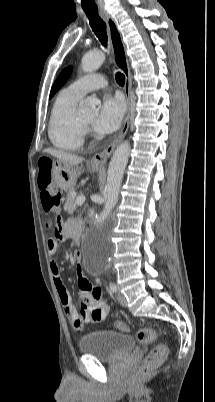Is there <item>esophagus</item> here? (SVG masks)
Segmentation results:
<instances>
[{
  "instance_id": "obj_1",
  "label": "esophagus",
  "mask_w": 215,
  "mask_h": 402,
  "mask_svg": "<svg viewBox=\"0 0 215 402\" xmlns=\"http://www.w3.org/2000/svg\"><path fill=\"white\" fill-rule=\"evenodd\" d=\"M100 15L107 24L114 62L125 76L124 91L127 101V114L125 116L121 131L118 134V136L114 139V141L102 152L94 155L90 160L91 166L99 168L105 166L107 160L112 155L114 149L123 140L128 131L129 119L131 113V88H132L131 74L126 55V48L123 43L121 33L117 27L115 20L106 10L103 9L100 10Z\"/></svg>"
}]
</instances>
